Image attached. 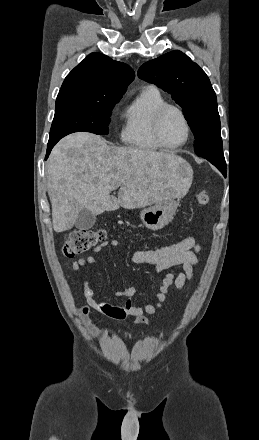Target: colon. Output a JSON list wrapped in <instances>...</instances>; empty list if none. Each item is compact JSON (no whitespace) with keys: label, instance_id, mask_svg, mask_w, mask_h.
Wrapping results in <instances>:
<instances>
[{"label":"colon","instance_id":"5ec220e1","mask_svg":"<svg viewBox=\"0 0 259 440\" xmlns=\"http://www.w3.org/2000/svg\"><path fill=\"white\" fill-rule=\"evenodd\" d=\"M197 202L201 206L209 203V194L202 190L196 196ZM106 232L103 229L84 230L77 229L68 234L63 245V254L66 257H73L83 253L103 242L106 239Z\"/></svg>","mask_w":259,"mask_h":440}]
</instances>
